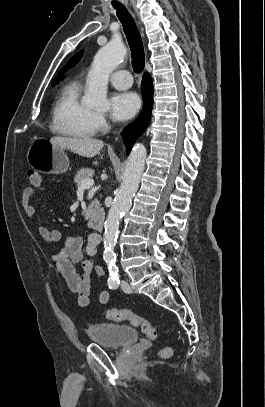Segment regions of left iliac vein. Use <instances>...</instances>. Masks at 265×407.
Returning <instances> with one entry per match:
<instances>
[{
	"mask_svg": "<svg viewBox=\"0 0 265 407\" xmlns=\"http://www.w3.org/2000/svg\"><path fill=\"white\" fill-rule=\"evenodd\" d=\"M121 288H122V290H123L124 292H126V293H130V292H131V287L129 286L128 282L125 281V280H123V281L121 282Z\"/></svg>",
	"mask_w": 265,
	"mask_h": 407,
	"instance_id": "left-iliac-vein-1",
	"label": "left iliac vein"
}]
</instances>
